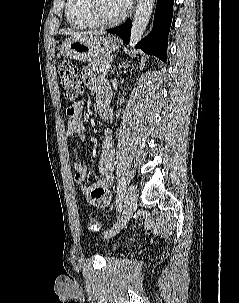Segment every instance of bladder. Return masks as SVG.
<instances>
[{
    "label": "bladder",
    "mask_w": 239,
    "mask_h": 303,
    "mask_svg": "<svg viewBox=\"0 0 239 303\" xmlns=\"http://www.w3.org/2000/svg\"><path fill=\"white\" fill-rule=\"evenodd\" d=\"M114 250H116V247H114V248L112 249V251H114Z\"/></svg>",
    "instance_id": "obj_1"
}]
</instances>
